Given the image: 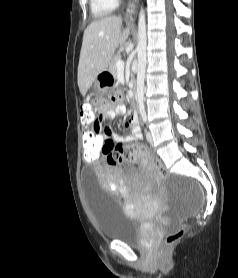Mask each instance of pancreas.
Here are the masks:
<instances>
[{"mask_svg":"<svg viewBox=\"0 0 238 278\" xmlns=\"http://www.w3.org/2000/svg\"><path fill=\"white\" fill-rule=\"evenodd\" d=\"M122 58V54L118 52L114 57L111 59L110 66H109V72L116 77L117 75V66L116 63L118 60Z\"/></svg>","mask_w":238,"mask_h":278,"instance_id":"pancreas-1","label":"pancreas"}]
</instances>
